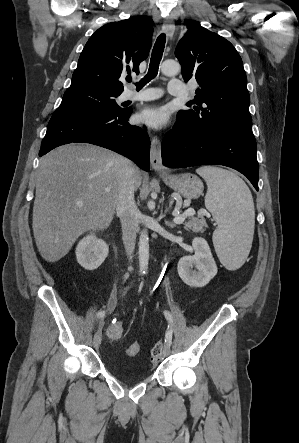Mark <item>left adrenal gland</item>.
I'll return each mask as SVG.
<instances>
[{
  "instance_id": "a2214340",
  "label": "left adrenal gland",
  "mask_w": 299,
  "mask_h": 443,
  "mask_svg": "<svg viewBox=\"0 0 299 443\" xmlns=\"http://www.w3.org/2000/svg\"><path fill=\"white\" fill-rule=\"evenodd\" d=\"M167 212V209L165 210V213ZM165 216V215H164ZM165 224L170 227V228H174L175 224L173 222H169V221H165Z\"/></svg>"
}]
</instances>
